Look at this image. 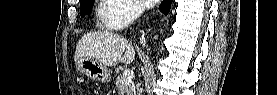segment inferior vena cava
<instances>
[{"mask_svg":"<svg viewBox=\"0 0 277 95\" xmlns=\"http://www.w3.org/2000/svg\"><path fill=\"white\" fill-rule=\"evenodd\" d=\"M143 11H144V9L140 6H138L137 9H136V15L140 16L143 13Z\"/></svg>","mask_w":277,"mask_h":95,"instance_id":"602c4592","label":"inferior vena cava"}]
</instances>
